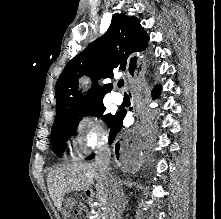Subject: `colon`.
Wrapping results in <instances>:
<instances>
[{"instance_id":"5ec220e1","label":"colon","mask_w":221,"mask_h":219,"mask_svg":"<svg viewBox=\"0 0 221 219\" xmlns=\"http://www.w3.org/2000/svg\"><path fill=\"white\" fill-rule=\"evenodd\" d=\"M66 209L69 219H80L82 217V208L74 199H69L66 202Z\"/></svg>"}]
</instances>
